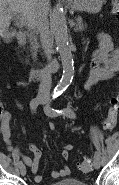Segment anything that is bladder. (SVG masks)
<instances>
[{
  "mask_svg": "<svg viewBox=\"0 0 119 185\" xmlns=\"http://www.w3.org/2000/svg\"><path fill=\"white\" fill-rule=\"evenodd\" d=\"M51 185H89V184L79 179L68 178V179L60 180Z\"/></svg>",
  "mask_w": 119,
  "mask_h": 185,
  "instance_id": "1",
  "label": "bladder"
}]
</instances>
